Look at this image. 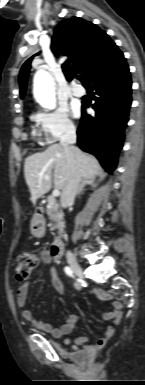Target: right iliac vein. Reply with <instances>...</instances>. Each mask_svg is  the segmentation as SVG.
<instances>
[{"mask_svg": "<svg viewBox=\"0 0 145 385\" xmlns=\"http://www.w3.org/2000/svg\"><path fill=\"white\" fill-rule=\"evenodd\" d=\"M68 262H69L70 267L73 270V272L77 276L82 277L83 276V270H82L81 266L79 265V263L74 258H69Z\"/></svg>", "mask_w": 145, "mask_h": 385, "instance_id": "right-iliac-vein-1", "label": "right iliac vein"}]
</instances>
